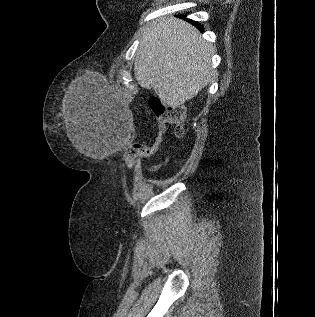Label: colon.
<instances>
[{
  "label": "colon",
  "mask_w": 315,
  "mask_h": 317,
  "mask_svg": "<svg viewBox=\"0 0 315 317\" xmlns=\"http://www.w3.org/2000/svg\"><path fill=\"white\" fill-rule=\"evenodd\" d=\"M150 106L158 122V135L152 143H136L129 147L128 161L130 162L157 153L161 145L162 134L168 125L175 126V133L179 137H182L185 133L187 116L184 107L165 106L157 99H152Z\"/></svg>",
  "instance_id": "colon-1"
}]
</instances>
